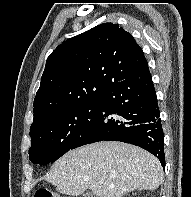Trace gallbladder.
Listing matches in <instances>:
<instances>
[{
    "mask_svg": "<svg viewBox=\"0 0 191 197\" xmlns=\"http://www.w3.org/2000/svg\"><path fill=\"white\" fill-rule=\"evenodd\" d=\"M84 197H97V196L94 195L93 193L88 192L84 194Z\"/></svg>",
    "mask_w": 191,
    "mask_h": 197,
    "instance_id": "obj_1",
    "label": "gallbladder"
}]
</instances>
